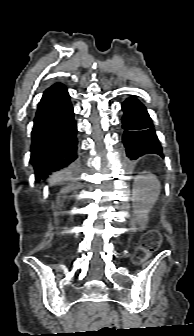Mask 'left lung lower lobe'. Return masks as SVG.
I'll return each mask as SVG.
<instances>
[{"label":"left lung lower lobe","mask_w":194,"mask_h":336,"mask_svg":"<svg viewBox=\"0 0 194 336\" xmlns=\"http://www.w3.org/2000/svg\"><path fill=\"white\" fill-rule=\"evenodd\" d=\"M123 143L126 155L136 160L145 154H158L163 157L162 148L153 128L145 106L135 98H129L122 104Z\"/></svg>","instance_id":"1"}]
</instances>
